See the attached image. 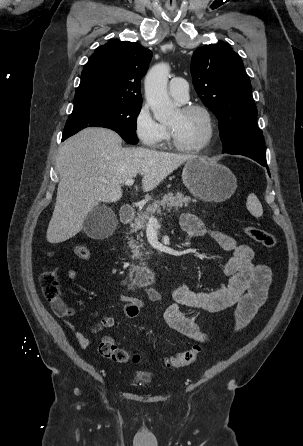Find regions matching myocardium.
Returning a JSON list of instances; mask_svg holds the SVG:
<instances>
[{
	"instance_id": "1",
	"label": "myocardium",
	"mask_w": 303,
	"mask_h": 446,
	"mask_svg": "<svg viewBox=\"0 0 303 446\" xmlns=\"http://www.w3.org/2000/svg\"><path fill=\"white\" fill-rule=\"evenodd\" d=\"M181 111L184 113L198 112V113L202 114V116L205 119L206 127H207L206 135L203 138V140L201 142H199L198 144L193 145V146H185V145L180 144L176 140L172 130L167 126L170 146L179 152L198 153V152L204 150L206 147H208L213 140L214 133H215V125H214L212 114L207 107H205L204 105H201V104H196V103L186 104V105L182 106Z\"/></svg>"
}]
</instances>
